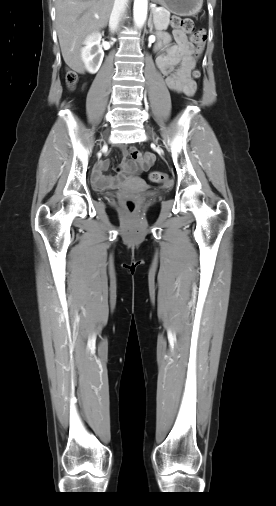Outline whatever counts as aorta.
<instances>
[{
    "label": "aorta",
    "mask_w": 276,
    "mask_h": 506,
    "mask_svg": "<svg viewBox=\"0 0 276 506\" xmlns=\"http://www.w3.org/2000/svg\"><path fill=\"white\" fill-rule=\"evenodd\" d=\"M148 0H134V23L138 29L144 26L147 18Z\"/></svg>",
    "instance_id": "762f6f07"
}]
</instances>
